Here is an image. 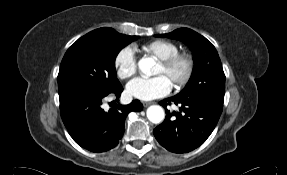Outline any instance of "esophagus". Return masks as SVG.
I'll return each mask as SVG.
<instances>
[{
    "label": "esophagus",
    "mask_w": 287,
    "mask_h": 175,
    "mask_svg": "<svg viewBox=\"0 0 287 175\" xmlns=\"http://www.w3.org/2000/svg\"><path fill=\"white\" fill-rule=\"evenodd\" d=\"M151 104H153V102H143V106H144V107H148V106H150Z\"/></svg>",
    "instance_id": "34e87169"
}]
</instances>
